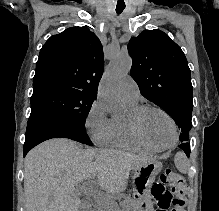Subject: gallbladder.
Segmentation results:
<instances>
[{
	"instance_id": "obj_1",
	"label": "gallbladder",
	"mask_w": 219,
	"mask_h": 211,
	"mask_svg": "<svg viewBox=\"0 0 219 211\" xmlns=\"http://www.w3.org/2000/svg\"><path fill=\"white\" fill-rule=\"evenodd\" d=\"M80 191H82V189H80ZM49 197H53V195H49ZM79 211H89V207L86 203V205H81Z\"/></svg>"
}]
</instances>
